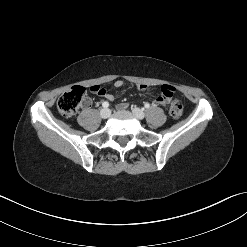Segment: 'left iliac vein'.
<instances>
[{
  "label": "left iliac vein",
  "instance_id": "1",
  "mask_svg": "<svg viewBox=\"0 0 247 247\" xmlns=\"http://www.w3.org/2000/svg\"><path fill=\"white\" fill-rule=\"evenodd\" d=\"M132 112L135 115V117L140 119V120L145 117V113L140 108L135 107V108H133Z\"/></svg>",
  "mask_w": 247,
  "mask_h": 247
}]
</instances>
